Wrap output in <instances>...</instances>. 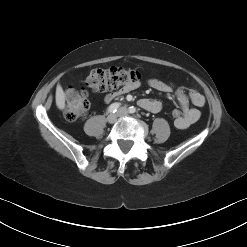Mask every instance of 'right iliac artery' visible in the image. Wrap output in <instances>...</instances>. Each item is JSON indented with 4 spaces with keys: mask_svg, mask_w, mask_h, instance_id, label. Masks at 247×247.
Listing matches in <instances>:
<instances>
[{
    "mask_svg": "<svg viewBox=\"0 0 247 247\" xmlns=\"http://www.w3.org/2000/svg\"><path fill=\"white\" fill-rule=\"evenodd\" d=\"M119 107H120L119 103H113L108 107V112L109 113H115Z\"/></svg>",
    "mask_w": 247,
    "mask_h": 247,
    "instance_id": "obj_1",
    "label": "right iliac artery"
}]
</instances>
